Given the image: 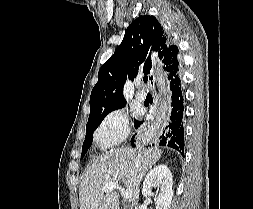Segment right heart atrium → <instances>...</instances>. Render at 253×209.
Returning a JSON list of instances; mask_svg holds the SVG:
<instances>
[{"label": "right heart atrium", "instance_id": "d8ad5b80", "mask_svg": "<svg viewBox=\"0 0 253 209\" xmlns=\"http://www.w3.org/2000/svg\"><path fill=\"white\" fill-rule=\"evenodd\" d=\"M129 133L128 114L122 109H116L102 119L94 132V141L100 149L107 150L125 141Z\"/></svg>", "mask_w": 253, "mask_h": 209}]
</instances>
